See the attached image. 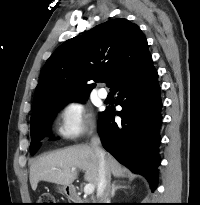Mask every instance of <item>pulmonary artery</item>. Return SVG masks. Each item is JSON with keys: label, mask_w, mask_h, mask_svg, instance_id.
I'll return each instance as SVG.
<instances>
[{"label": "pulmonary artery", "mask_w": 200, "mask_h": 205, "mask_svg": "<svg viewBox=\"0 0 200 205\" xmlns=\"http://www.w3.org/2000/svg\"><path fill=\"white\" fill-rule=\"evenodd\" d=\"M98 96H99L100 98H102V99H106L107 96H108L107 90H106L105 88H100V89L98 90Z\"/></svg>", "instance_id": "pulmonary-artery-1"}]
</instances>
